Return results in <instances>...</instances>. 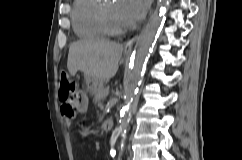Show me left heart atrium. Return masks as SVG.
Returning a JSON list of instances; mask_svg holds the SVG:
<instances>
[{
    "mask_svg": "<svg viewBox=\"0 0 242 160\" xmlns=\"http://www.w3.org/2000/svg\"><path fill=\"white\" fill-rule=\"evenodd\" d=\"M117 11L126 26L141 19L148 8L149 0H119Z\"/></svg>",
    "mask_w": 242,
    "mask_h": 160,
    "instance_id": "left-heart-atrium-1",
    "label": "left heart atrium"
}]
</instances>
